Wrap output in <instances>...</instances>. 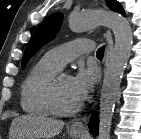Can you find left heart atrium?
I'll return each mask as SVG.
<instances>
[{"label": "left heart atrium", "instance_id": "left-heart-atrium-1", "mask_svg": "<svg viewBox=\"0 0 141 139\" xmlns=\"http://www.w3.org/2000/svg\"><path fill=\"white\" fill-rule=\"evenodd\" d=\"M96 70L94 68H81L77 74L72 77V90L75 99L81 103L91 92L96 81Z\"/></svg>", "mask_w": 141, "mask_h": 139}]
</instances>
